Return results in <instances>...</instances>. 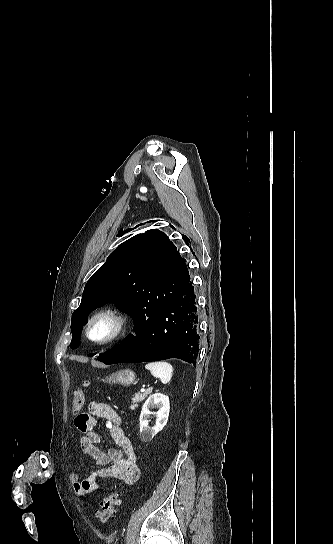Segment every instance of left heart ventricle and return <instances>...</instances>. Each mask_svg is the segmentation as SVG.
I'll use <instances>...</instances> for the list:
<instances>
[{
    "label": "left heart ventricle",
    "mask_w": 333,
    "mask_h": 544,
    "mask_svg": "<svg viewBox=\"0 0 333 544\" xmlns=\"http://www.w3.org/2000/svg\"><path fill=\"white\" fill-rule=\"evenodd\" d=\"M112 329L111 323L107 319L98 320L91 329V336L94 339L105 338Z\"/></svg>",
    "instance_id": "1"
}]
</instances>
